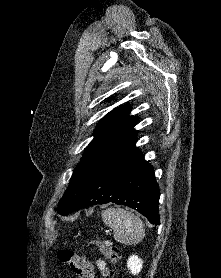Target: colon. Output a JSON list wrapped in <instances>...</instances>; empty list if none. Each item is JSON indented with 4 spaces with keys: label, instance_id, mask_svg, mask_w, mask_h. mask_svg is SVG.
I'll use <instances>...</instances> for the list:
<instances>
[{
    "label": "colon",
    "instance_id": "colon-1",
    "mask_svg": "<svg viewBox=\"0 0 221 278\" xmlns=\"http://www.w3.org/2000/svg\"><path fill=\"white\" fill-rule=\"evenodd\" d=\"M89 243L103 253L110 262L116 263L119 260V249L109 242L93 237L89 239ZM58 259L80 278H94L93 268L83 255H79L68 248H61L58 251Z\"/></svg>",
    "mask_w": 221,
    "mask_h": 278
}]
</instances>
